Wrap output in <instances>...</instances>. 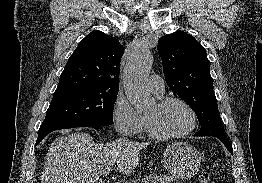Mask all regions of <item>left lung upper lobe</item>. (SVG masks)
<instances>
[{
    "label": "left lung upper lobe",
    "instance_id": "obj_1",
    "mask_svg": "<svg viewBox=\"0 0 262 183\" xmlns=\"http://www.w3.org/2000/svg\"><path fill=\"white\" fill-rule=\"evenodd\" d=\"M168 86L196 113L201 129L195 136L226 137L213 92L205 48L186 32H174L158 42Z\"/></svg>",
    "mask_w": 262,
    "mask_h": 183
}]
</instances>
